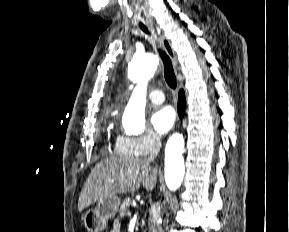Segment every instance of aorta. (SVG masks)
I'll return each mask as SVG.
<instances>
[{
    "label": "aorta",
    "mask_w": 289,
    "mask_h": 232,
    "mask_svg": "<svg viewBox=\"0 0 289 232\" xmlns=\"http://www.w3.org/2000/svg\"><path fill=\"white\" fill-rule=\"evenodd\" d=\"M158 63V57L148 53L134 56L129 64V78L137 83L123 115V126L129 133L141 134L145 130L147 83L153 77ZM183 149V136L173 134L165 148V182L171 191L181 186L184 177Z\"/></svg>",
    "instance_id": "obj_1"
}]
</instances>
